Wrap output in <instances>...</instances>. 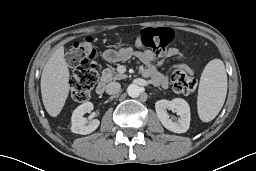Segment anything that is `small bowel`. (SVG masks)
Here are the masks:
<instances>
[{
	"instance_id": "1",
	"label": "small bowel",
	"mask_w": 256,
	"mask_h": 171,
	"mask_svg": "<svg viewBox=\"0 0 256 171\" xmlns=\"http://www.w3.org/2000/svg\"><path fill=\"white\" fill-rule=\"evenodd\" d=\"M133 54V49L131 47H124L120 50H106L103 52L102 57L109 62H115L119 60H126L130 58ZM138 57L147 65L145 70V75L153 80L156 85L165 87L167 85L166 76L157 70V66L162 63L161 59L155 57L152 53L144 51L137 53ZM167 58L170 57H181L185 58L184 54L177 48H170L166 54ZM185 67L191 71L189 65Z\"/></svg>"
}]
</instances>
